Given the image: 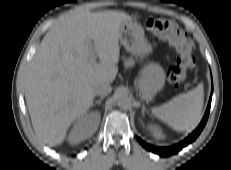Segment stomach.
<instances>
[{"label": "stomach", "mask_w": 231, "mask_h": 170, "mask_svg": "<svg viewBox=\"0 0 231 170\" xmlns=\"http://www.w3.org/2000/svg\"><path fill=\"white\" fill-rule=\"evenodd\" d=\"M119 39L128 52L141 59L152 50L151 45L144 38L142 27L132 19L121 24ZM163 82L164 73L158 64L149 63L144 65L139 78V88L144 95L151 94Z\"/></svg>", "instance_id": "0dacf381"}]
</instances>
